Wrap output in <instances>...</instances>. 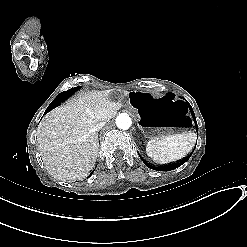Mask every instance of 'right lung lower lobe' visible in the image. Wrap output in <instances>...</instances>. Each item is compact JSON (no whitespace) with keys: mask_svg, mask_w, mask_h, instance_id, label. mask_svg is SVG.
Here are the masks:
<instances>
[{"mask_svg":"<svg viewBox=\"0 0 247 247\" xmlns=\"http://www.w3.org/2000/svg\"><path fill=\"white\" fill-rule=\"evenodd\" d=\"M72 93H69V91H64L62 93H60L48 106V108L46 109L44 115L46 113H48L50 110H52L53 108L57 107L58 105H60V103L62 101H64L66 98H68Z\"/></svg>","mask_w":247,"mask_h":247,"instance_id":"98d812e1","label":"right lung lower lobe"}]
</instances>
